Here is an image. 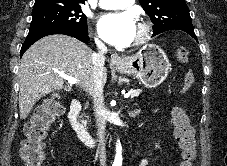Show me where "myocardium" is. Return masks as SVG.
I'll return each mask as SVG.
<instances>
[{
    "mask_svg": "<svg viewBox=\"0 0 227 166\" xmlns=\"http://www.w3.org/2000/svg\"><path fill=\"white\" fill-rule=\"evenodd\" d=\"M151 36V27L144 21L139 23V34L135 38L134 45L139 46L146 43Z\"/></svg>",
    "mask_w": 227,
    "mask_h": 166,
    "instance_id": "myocardium-1",
    "label": "myocardium"
}]
</instances>
